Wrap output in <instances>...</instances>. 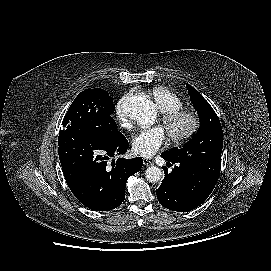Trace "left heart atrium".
I'll use <instances>...</instances> for the list:
<instances>
[{
	"label": "left heart atrium",
	"instance_id": "obj_1",
	"mask_svg": "<svg viewBox=\"0 0 271 271\" xmlns=\"http://www.w3.org/2000/svg\"><path fill=\"white\" fill-rule=\"evenodd\" d=\"M166 134L161 126L141 130L132 140L133 151L143 157H152L166 143Z\"/></svg>",
	"mask_w": 271,
	"mask_h": 271
}]
</instances>
